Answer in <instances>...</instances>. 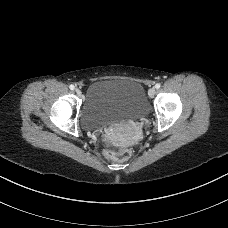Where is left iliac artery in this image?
<instances>
[{
	"mask_svg": "<svg viewBox=\"0 0 228 228\" xmlns=\"http://www.w3.org/2000/svg\"><path fill=\"white\" fill-rule=\"evenodd\" d=\"M155 88H156V89H159V88H160V84L157 83V84L155 85Z\"/></svg>",
	"mask_w": 228,
	"mask_h": 228,
	"instance_id": "left-iliac-artery-1",
	"label": "left iliac artery"
}]
</instances>
